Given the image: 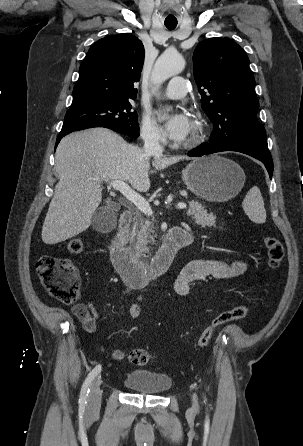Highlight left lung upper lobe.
<instances>
[{
  "label": "left lung upper lobe",
  "instance_id": "obj_1",
  "mask_svg": "<svg viewBox=\"0 0 303 446\" xmlns=\"http://www.w3.org/2000/svg\"><path fill=\"white\" fill-rule=\"evenodd\" d=\"M196 80L204 111L213 123L210 145H238L269 152L255 79L243 49L229 38L202 41L193 54Z\"/></svg>",
  "mask_w": 303,
  "mask_h": 446
}]
</instances>
